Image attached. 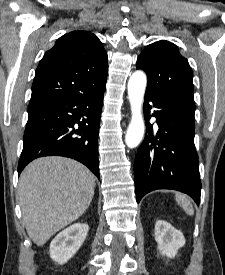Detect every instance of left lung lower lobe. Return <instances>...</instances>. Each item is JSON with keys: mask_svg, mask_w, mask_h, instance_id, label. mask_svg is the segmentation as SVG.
Instances as JSON below:
<instances>
[{"mask_svg": "<svg viewBox=\"0 0 225 275\" xmlns=\"http://www.w3.org/2000/svg\"><path fill=\"white\" fill-rule=\"evenodd\" d=\"M157 110L158 131L153 133L150 110ZM145 139L134 161L137 202L156 189L178 190L200 201L201 181L198 155L194 145V113L155 92L146 90Z\"/></svg>", "mask_w": 225, "mask_h": 275, "instance_id": "1", "label": "left lung lower lobe"}]
</instances>
